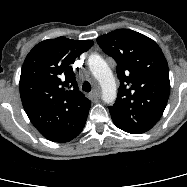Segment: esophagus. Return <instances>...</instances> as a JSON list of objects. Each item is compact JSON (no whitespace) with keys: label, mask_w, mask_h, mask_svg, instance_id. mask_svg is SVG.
<instances>
[{"label":"esophagus","mask_w":187,"mask_h":187,"mask_svg":"<svg viewBox=\"0 0 187 187\" xmlns=\"http://www.w3.org/2000/svg\"><path fill=\"white\" fill-rule=\"evenodd\" d=\"M101 96V92L100 90H94L93 92H91L89 94V98L92 100V101H97Z\"/></svg>","instance_id":"obj_1"}]
</instances>
